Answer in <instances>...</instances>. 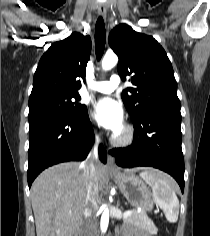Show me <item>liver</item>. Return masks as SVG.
<instances>
[{"mask_svg": "<svg viewBox=\"0 0 210 236\" xmlns=\"http://www.w3.org/2000/svg\"><path fill=\"white\" fill-rule=\"evenodd\" d=\"M95 168L98 191H102L108 170L99 162ZM142 169L156 171L148 168L124 171L131 174ZM87 187V171L80 163H61L44 170L31 187L37 236H72L82 223Z\"/></svg>", "mask_w": 210, "mask_h": 236, "instance_id": "liver-1", "label": "liver"}]
</instances>
